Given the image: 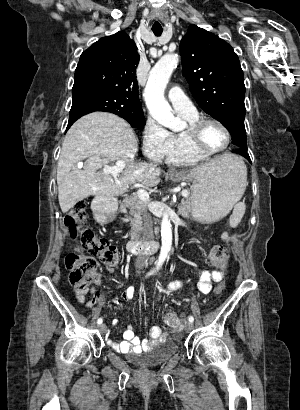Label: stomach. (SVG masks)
Wrapping results in <instances>:
<instances>
[{
	"label": "stomach",
	"mask_w": 300,
	"mask_h": 410,
	"mask_svg": "<svg viewBox=\"0 0 300 410\" xmlns=\"http://www.w3.org/2000/svg\"><path fill=\"white\" fill-rule=\"evenodd\" d=\"M237 158L234 156L231 162L224 164L197 167L175 177L193 182L191 209L197 221L214 223L221 220L241 198L245 190L244 175L238 168Z\"/></svg>",
	"instance_id": "obj_1"
}]
</instances>
